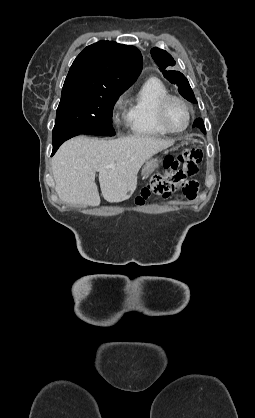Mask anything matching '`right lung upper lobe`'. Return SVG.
<instances>
[{"mask_svg":"<svg viewBox=\"0 0 255 418\" xmlns=\"http://www.w3.org/2000/svg\"><path fill=\"white\" fill-rule=\"evenodd\" d=\"M142 70L141 52L134 46L99 41L76 57L64 86L126 90Z\"/></svg>","mask_w":255,"mask_h":418,"instance_id":"obj_1","label":"right lung upper lobe"}]
</instances>
